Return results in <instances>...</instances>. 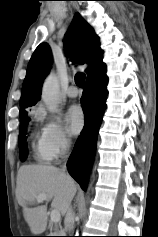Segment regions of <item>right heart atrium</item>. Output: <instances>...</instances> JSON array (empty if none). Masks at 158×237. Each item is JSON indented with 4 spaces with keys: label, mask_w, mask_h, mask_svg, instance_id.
<instances>
[{
    "label": "right heart atrium",
    "mask_w": 158,
    "mask_h": 237,
    "mask_svg": "<svg viewBox=\"0 0 158 237\" xmlns=\"http://www.w3.org/2000/svg\"><path fill=\"white\" fill-rule=\"evenodd\" d=\"M42 144L53 159L59 158L71 143L70 136L56 119H48L42 128Z\"/></svg>",
    "instance_id": "obj_1"
}]
</instances>
